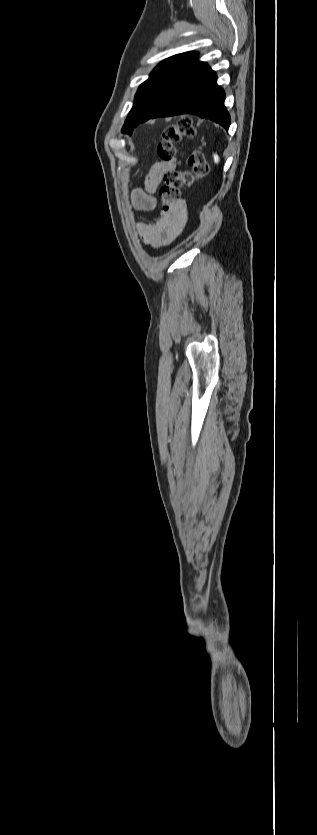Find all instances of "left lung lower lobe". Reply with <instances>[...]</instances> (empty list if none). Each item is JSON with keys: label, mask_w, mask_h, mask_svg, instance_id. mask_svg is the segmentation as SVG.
<instances>
[{"label": "left lung lower lobe", "mask_w": 317, "mask_h": 835, "mask_svg": "<svg viewBox=\"0 0 317 835\" xmlns=\"http://www.w3.org/2000/svg\"><path fill=\"white\" fill-rule=\"evenodd\" d=\"M224 100L225 93L217 85L216 73L208 64L196 59L183 72L168 98L150 118L193 114L212 120L228 130L230 115Z\"/></svg>", "instance_id": "0a47b994"}]
</instances>
